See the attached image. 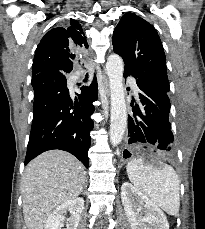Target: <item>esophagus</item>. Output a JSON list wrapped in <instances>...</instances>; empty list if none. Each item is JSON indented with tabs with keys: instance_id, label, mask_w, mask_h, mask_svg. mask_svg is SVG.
Masks as SVG:
<instances>
[{
	"instance_id": "1",
	"label": "esophagus",
	"mask_w": 205,
	"mask_h": 229,
	"mask_svg": "<svg viewBox=\"0 0 205 229\" xmlns=\"http://www.w3.org/2000/svg\"><path fill=\"white\" fill-rule=\"evenodd\" d=\"M103 85H104V90H105V96L108 98V96H109V85H108L107 78H104Z\"/></svg>"
}]
</instances>
